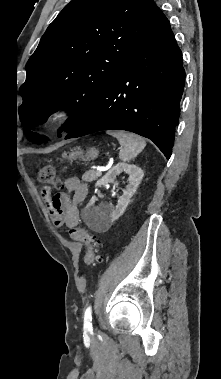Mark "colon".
<instances>
[{
	"instance_id": "colon-1",
	"label": "colon",
	"mask_w": 221,
	"mask_h": 379,
	"mask_svg": "<svg viewBox=\"0 0 221 379\" xmlns=\"http://www.w3.org/2000/svg\"><path fill=\"white\" fill-rule=\"evenodd\" d=\"M79 154L80 152L75 150L66 153L65 157L68 161H73L79 156ZM36 176L38 181L45 186L46 190H49L50 188L58 189L61 187V182L52 166L47 165L41 167L38 169ZM70 237L86 246L84 260L87 265H91L98 261L100 241L95 236L91 235L83 228L74 227L70 229Z\"/></svg>"
}]
</instances>
